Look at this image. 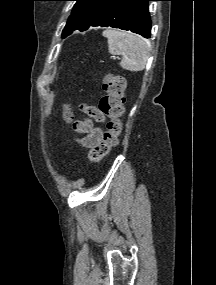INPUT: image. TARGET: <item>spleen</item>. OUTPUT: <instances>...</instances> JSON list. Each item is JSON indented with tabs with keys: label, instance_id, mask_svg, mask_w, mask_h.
<instances>
[{
	"label": "spleen",
	"instance_id": "3e777b00",
	"mask_svg": "<svg viewBox=\"0 0 216 285\" xmlns=\"http://www.w3.org/2000/svg\"><path fill=\"white\" fill-rule=\"evenodd\" d=\"M108 39L111 54L121 55L122 69L137 72L145 69L149 58V44L141 36L129 31L106 29L102 34Z\"/></svg>",
	"mask_w": 216,
	"mask_h": 285
}]
</instances>
